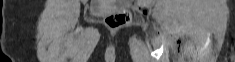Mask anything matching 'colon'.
Wrapping results in <instances>:
<instances>
[{"mask_svg": "<svg viewBox=\"0 0 235 62\" xmlns=\"http://www.w3.org/2000/svg\"><path fill=\"white\" fill-rule=\"evenodd\" d=\"M131 20V14L123 9L106 17L105 22L110 28H119L127 25Z\"/></svg>", "mask_w": 235, "mask_h": 62, "instance_id": "obj_1", "label": "colon"}]
</instances>
